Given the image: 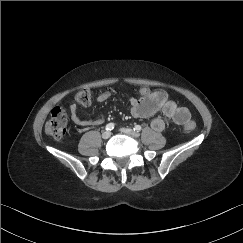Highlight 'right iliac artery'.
<instances>
[{
    "mask_svg": "<svg viewBox=\"0 0 243 243\" xmlns=\"http://www.w3.org/2000/svg\"><path fill=\"white\" fill-rule=\"evenodd\" d=\"M114 126H115L114 123H109V124L106 125V130L111 131V130L114 129Z\"/></svg>",
    "mask_w": 243,
    "mask_h": 243,
    "instance_id": "82829eb1",
    "label": "right iliac artery"
}]
</instances>
